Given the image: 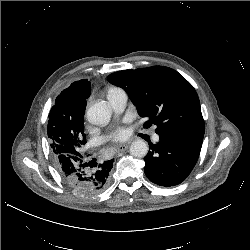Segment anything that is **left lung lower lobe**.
<instances>
[{
	"instance_id": "0a47b994",
	"label": "left lung lower lobe",
	"mask_w": 250,
	"mask_h": 250,
	"mask_svg": "<svg viewBox=\"0 0 250 250\" xmlns=\"http://www.w3.org/2000/svg\"><path fill=\"white\" fill-rule=\"evenodd\" d=\"M156 144L149 142L144 171L147 178L160 186L183 182L194 168L203 142L201 135H159Z\"/></svg>"
}]
</instances>
